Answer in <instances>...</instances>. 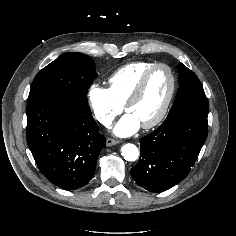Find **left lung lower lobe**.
Here are the masks:
<instances>
[{"instance_id": "1", "label": "left lung lower lobe", "mask_w": 236, "mask_h": 236, "mask_svg": "<svg viewBox=\"0 0 236 236\" xmlns=\"http://www.w3.org/2000/svg\"><path fill=\"white\" fill-rule=\"evenodd\" d=\"M207 134V117L181 115L165 120L141 139L132 178L150 192L170 189L189 174Z\"/></svg>"}]
</instances>
